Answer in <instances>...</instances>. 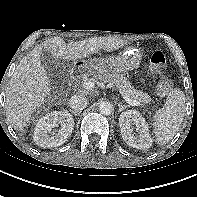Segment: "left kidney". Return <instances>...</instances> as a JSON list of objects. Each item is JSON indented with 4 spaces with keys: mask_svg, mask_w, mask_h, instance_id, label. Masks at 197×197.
Returning a JSON list of instances; mask_svg holds the SVG:
<instances>
[{
    "mask_svg": "<svg viewBox=\"0 0 197 197\" xmlns=\"http://www.w3.org/2000/svg\"><path fill=\"white\" fill-rule=\"evenodd\" d=\"M119 126L123 140L136 149H148L152 146L148 124L141 114L135 110L123 112L119 117ZM134 127L137 133H134Z\"/></svg>",
    "mask_w": 197,
    "mask_h": 197,
    "instance_id": "1",
    "label": "left kidney"
}]
</instances>
